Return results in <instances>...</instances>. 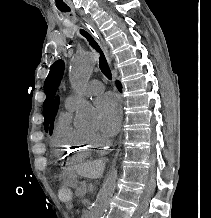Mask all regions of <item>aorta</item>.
<instances>
[{
  "instance_id": "aorta-1",
  "label": "aorta",
  "mask_w": 211,
  "mask_h": 218,
  "mask_svg": "<svg viewBox=\"0 0 211 218\" xmlns=\"http://www.w3.org/2000/svg\"><path fill=\"white\" fill-rule=\"evenodd\" d=\"M96 57L91 53H85L73 58L69 78L75 90H80L90 79L96 64ZM98 115L88 101L82 100L76 111V126L83 131H94L98 128ZM117 180V168L113 167L101 191L90 210V218H102L105 214L111 197L115 191Z\"/></svg>"
}]
</instances>
